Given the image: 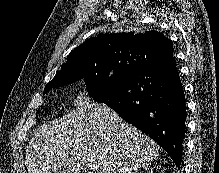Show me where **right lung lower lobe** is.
<instances>
[{"instance_id": "98d812e1", "label": "right lung lower lobe", "mask_w": 219, "mask_h": 173, "mask_svg": "<svg viewBox=\"0 0 219 173\" xmlns=\"http://www.w3.org/2000/svg\"><path fill=\"white\" fill-rule=\"evenodd\" d=\"M106 105L149 135L181 167L185 138V95L175 59L139 64L112 91Z\"/></svg>"}]
</instances>
